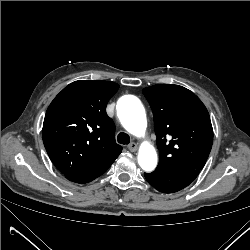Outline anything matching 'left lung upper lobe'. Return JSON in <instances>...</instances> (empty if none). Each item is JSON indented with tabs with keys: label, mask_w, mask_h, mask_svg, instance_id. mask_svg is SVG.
Instances as JSON below:
<instances>
[{
	"label": "left lung upper lobe",
	"mask_w": 250,
	"mask_h": 250,
	"mask_svg": "<svg viewBox=\"0 0 250 250\" xmlns=\"http://www.w3.org/2000/svg\"><path fill=\"white\" fill-rule=\"evenodd\" d=\"M154 115L157 171L201 170L213 143L209 113L190 90L170 84L143 89Z\"/></svg>",
	"instance_id": "left-lung-upper-lobe-1"
}]
</instances>
